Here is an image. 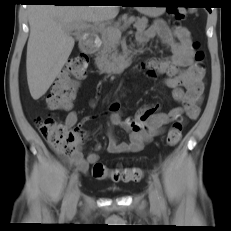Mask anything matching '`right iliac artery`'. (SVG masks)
Listing matches in <instances>:
<instances>
[{"instance_id":"obj_1","label":"right iliac artery","mask_w":231,"mask_h":231,"mask_svg":"<svg viewBox=\"0 0 231 231\" xmlns=\"http://www.w3.org/2000/svg\"><path fill=\"white\" fill-rule=\"evenodd\" d=\"M77 179H78V173L74 172L71 175L69 185H68V188L66 190V193H65V196H64V199H63V202H62L63 210L67 209V205L69 203V199H70V196H71V190H72L74 184L76 183Z\"/></svg>"}]
</instances>
